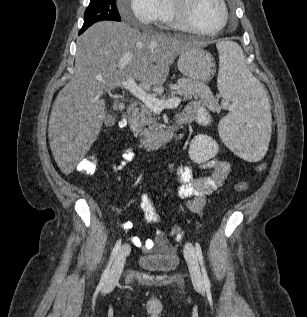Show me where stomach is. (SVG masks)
I'll return each mask as SVG.
<instances>
[{
  "label": "stomach",
  "mask_w": 307,
  "mask_h": 317,
  "mask_svg": "<svg viewBox=\"0 0 307 317\" xmlns=\"http://www.w3.org/2000/svg\"><path fill=\"white\" fill-rule=\"evenodd\" d=\"M179 71L189 79L208 82L215 66L213 56L198 46L182 51L178 58Z\"/></svg>",
  "instance_id": "stomach-1"
}]
</instances>
